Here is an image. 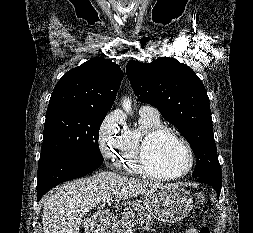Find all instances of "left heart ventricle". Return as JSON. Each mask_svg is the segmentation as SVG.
I'll return each instance as SVG.
<instances>
[{
	"label": "left heart ventricle",
	"mask_w": 253,
	"mask_h": 233,
	"mask_svg": "<svg viewBox=\"0 0 253 233\" xmlns=\"http://www.w3.org/2000/svg\"><path fill=\"white\" fill-rule=\"evenodd\" d=\"M147 160L155 173L172 175L186 170L189 155L180 141L170 135H162L150 147Z\"/></svg>",
	"instance_id": "obj_1"
}]
</instances>
